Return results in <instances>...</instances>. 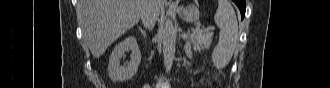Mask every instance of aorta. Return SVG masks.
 <instances>
[{
    "mask_svg": "<svg viewBox=\"0 0 330 88\" xmlns=\"http://www.w3.org/2000/svg\"><path fill=\"white\" fill-rule=\"evenodd\" d=\"M176 29L171 19H166L162 29V44L164 66L167 73H170L173 61L175 59Z\"/></svg>",
    "mask_w": 330,
    "mask_h": 88,
    "instance_id": "obj_1",
    "label": "aorta"
}]
</instances>
